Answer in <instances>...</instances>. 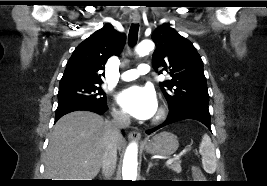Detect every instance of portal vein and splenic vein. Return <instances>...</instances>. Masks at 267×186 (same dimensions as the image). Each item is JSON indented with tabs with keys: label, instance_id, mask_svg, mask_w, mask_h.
<instances>
[{
	"label": "portal vein and splenic vein",
	"instance_id": "18ae733b",
	"mask_svg": "<svg viewBox=\"0 0 267 186\" xmlns=\"http://www.w3.org/2000/svg\"><path fill=\"white\" fill-rule=\"evenodd\" d=\"M175 159H176V158H170V159H168V160L166 161V165H167V166L171 165V164L174 162Z\"/></svg>",
	"mask_w": 267,
	"mask_h": 186
}]
</instances>
